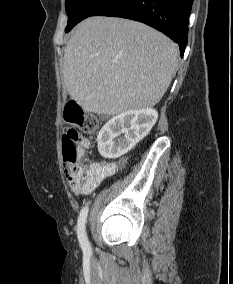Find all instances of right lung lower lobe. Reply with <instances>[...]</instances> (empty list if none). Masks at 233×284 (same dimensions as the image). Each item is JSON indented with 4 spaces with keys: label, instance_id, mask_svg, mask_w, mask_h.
<instances>
[{
    "label": "right lung lower lobe",
    "instance_id": "obj_1",
    "mask_svg": "<svg viewBox=\"0 0 233 284\" xmlns=\"http://www.w3.org/2000/svg\"><path fill=\"white\" fill-rule=\"evenodd\" d=\"M193 0H107L90 16H114L143 22L179 44L183 56Z\"/></svg>",
    "mask_w": 233,
    "mask_h": 284
}]
</instances>
